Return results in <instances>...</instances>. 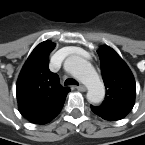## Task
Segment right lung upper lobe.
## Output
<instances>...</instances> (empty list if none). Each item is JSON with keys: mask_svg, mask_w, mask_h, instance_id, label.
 Wrapping results in <instances>:
<instances>
[{"mask_svg": "<svg viewBox=\"0 0 145 145\" xmlns=\"http://www.w3.org/2000/svg\"><path fill=\"white\" fill-rule=\"evenodd\" d=\"M54 47L49 41L37 45L25 62L16 85L19 111L35 124L53 120L70 91L62 87L58 75L49 70V54Z\"/></svg>", "mask_w": 145, "mask_h": 145, "instance_id": "right-lung-upper-lobe-1", "label": "right lung upper lobe"}]
</instances>
